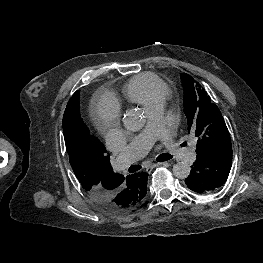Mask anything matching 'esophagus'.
Returning a JSON list of instances; mask_svg holds the SVG:
<instances>
[{
	"label": "esophagus",
	"mask_w": 263,
	"mask_h": 263,
	"mask_svg": "<svg viewBox=\"0 0 263 263\" xmlns=\"http://www.w3.org/2000/svg\"><path fill=\"white\" fill-rule=\"evenodd\" d=\"M164 164H167V162L154 163V164H151V165L147 166L146 170L147 171H151L154 167H157V166H160V165H164Z\"/></svg>",
	"instance_id": "esophagus-1"
}]
</instances>
